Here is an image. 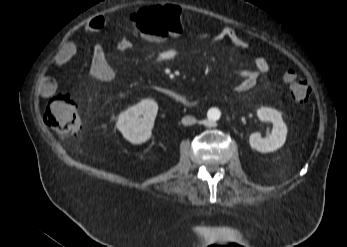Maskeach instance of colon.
Masks as SVG:
<instances>
[{
	"instance_id": "obj_1",
	"label": "colon",
	"mask_w": 347,
	"mask_h": 247,
	"mask_svg": "<svg viewBox=\"0 0 347 247\" xmlns=\"http://www.w3.org/2000/svg\"><path fill=\"white\" fill-rule=\"evenodd\" d=\"M131 21L134 28L145 36L163 39L181 32L184 15L175 5L149 6L132 14ZM283 81L296 102L306 103L309 100L311 88L302 73L287 69L283 73ZM44 122L62 135H77L81 121L76 102L66 94L53 95L45 108Z\"/></svg>"
}]
</instances>
